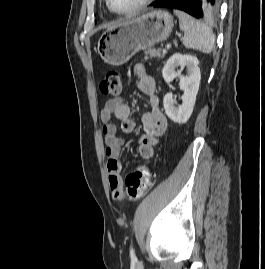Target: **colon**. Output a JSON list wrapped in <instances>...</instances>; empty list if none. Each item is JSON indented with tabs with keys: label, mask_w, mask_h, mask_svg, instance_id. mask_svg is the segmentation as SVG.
Segmentation results:
<instances>
[{
	"label": "colon",
	"mask_w": 265,
	"mask_h": 269,
	"mask_svg": "<svg viewBox=\"0 0 265 269\" xmlns=\"http://www.w3.org/2000/svg\"><path fill=\"white\" fill-rule=\"evenodd\" d=\"M100 89L103 94L118 96L122 92L120 75L115 70H110L101 81ZM151 183V173L148 168L139 166L131 171L125 179V187L121 192L120 200L135 201L140 199Z\"/></svg>",
	"instance_id": "obj_1"
}]
</instances>
